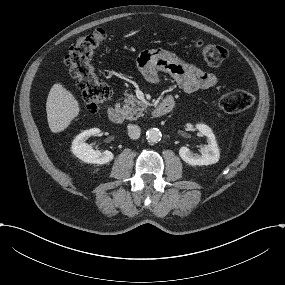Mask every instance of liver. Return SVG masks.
<instances>
[{"mask_svg": "<svg viewBox=\"0 0 285 285\" xmlns=\"http://www.w3.org/2000/svg\"><path fill=\"white\" fill-rule=\"evenodd\" d=\"M79 103L61 84H54L48 94L46 112L49 128L57 133L66 129L78 116Z\"/></svg>", "mask_w": 285, "mask_h": 285, "instance_id": "6515ba94", "label": "liver"}]
</instances>
